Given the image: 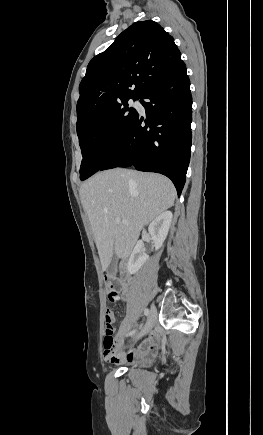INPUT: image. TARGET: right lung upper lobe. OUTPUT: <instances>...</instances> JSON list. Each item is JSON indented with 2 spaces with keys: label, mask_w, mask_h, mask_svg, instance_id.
Returning <instances> with one entry per match:
<instances>
[{
  "label": "right lung upper lobe",
  "mask_w": 263,
  "mask_h": 435,
  "mask_svg": "<svg viewBox=\"0 0 263 435\" xmlns=\"http://www.w3.org/2000/svg\"><path fill=\"white\" fill-rule=\"evenodd\" d=\"M182 63L173 37L158 23L132 24L89 62L79 86L77 128L115 103L140 98Z\"/></svg>",
  "instance_id": "obj_1"
}]
</instances>
